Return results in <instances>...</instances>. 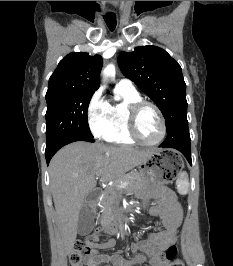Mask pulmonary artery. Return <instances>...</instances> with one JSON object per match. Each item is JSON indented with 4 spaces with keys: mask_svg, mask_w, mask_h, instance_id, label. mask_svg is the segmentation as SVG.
Returning a JSON list of instances; mask_svg holds the SVG:
<instances>
[{
    "mask_svg": "<svg viewBox=\"0 0 233 266\" xmlns=\"http://www.w3.org/2000/svg\"><path fill=\"white\" fill-rule=\"evenodd\" d=\"M116 87L125 89V90H129V91H135V87L132 83L131 80L127 79V78H122L118 81Z\"/></svg>",
    "mask_w": 233,
    "mask_h": 266,
    "instance_id": "pulmonary-artery-1",
    "label": "pulmonary artery"
}]
</instances>
